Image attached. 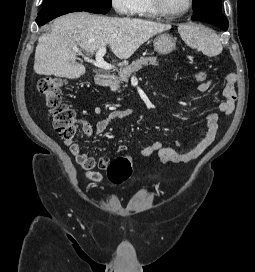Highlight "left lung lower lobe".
Listing matches in <instances>:
<instances>
[{"instance_id":"left-lung-lower-lobe-1","label":"left lung lower lobe","mask_w":255,"mask_h":272,"mask_svg":"<svg viewBox=\"0 0 255 272\" xmlns=\"http://www.w3.org/2000/svg\"><path fill=\"white\" fill-rule=\"evenodd\" d=\"M192 20L207 22L222 30L228 29L227 18L221 13L220 10L214 8L195 12V14L192 16Z\"/></svg>"}]
</instances>
